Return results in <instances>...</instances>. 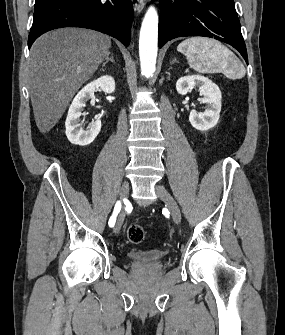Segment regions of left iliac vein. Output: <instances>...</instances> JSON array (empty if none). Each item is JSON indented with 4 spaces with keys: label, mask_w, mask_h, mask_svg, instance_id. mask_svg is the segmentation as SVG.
Instances as JSON below:
<instances>
[{
    "label": "left iliac vein",
    "mask_w": 285,
    "mask_h": 335,
    "mask_svg": "<svg viewBox=\"0 0 285 335\" xmlns=\"http://www.w3.org/2000/svg\"><path fill=\"white\" fill-rule=\"evenodd\" d=\"M155 191L157 195L160 197V199L166 204V206L170 210L171 217L174 220V222L179 223L181 220V212L172 195L162 185H156Z\"/></svg>",
    "instance_id": "1"
}]
</instances>
